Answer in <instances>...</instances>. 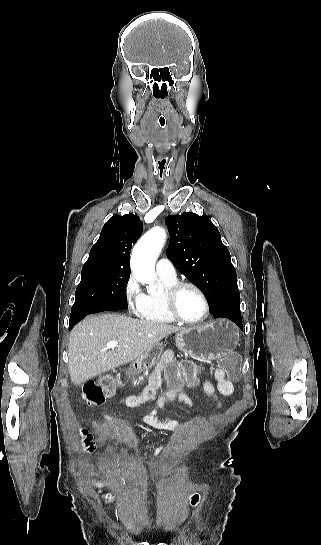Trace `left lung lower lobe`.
<instances>
[{
  "label": "left lung lower lobe",
  "mask_w": 321,
  "mask_h": 545,
  "mask_svg": "<svg viewBox=\"0 0 321 545\" xmlns=\"http://www.w3.org/2000/svg\"><path fill=\"white\" fill-rule=\"evenodd\" d=\"M211 314L214 318H228L237 324L240 329H243L240 313V297L229 299L222 304L211 308Z\"/></svg>",
  "instance_id": "1"
}]
</instances>
